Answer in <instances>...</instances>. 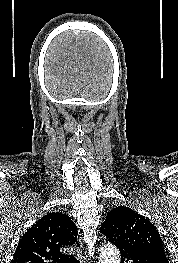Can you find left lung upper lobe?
I'll return each mask as SVG.
<instances>
[{"label": "left lung upper lobe", "mask_w": 178, "mask_h": 263, "mask_svg": "<svg viewBox=\"0 0 178 263\" xmlns=\"http://www.w3.org/2000/svg\"><path fill=\"white\" fill-rule=\"evenodd\" d=\"M119 245L143 248L165 255L164 244L155 226L132 209L118 206L111 210L101 226Z\"/></svg>", "instance_id": "5c2ea615"}]
</instances>
